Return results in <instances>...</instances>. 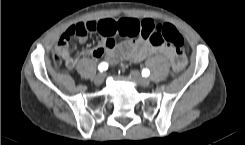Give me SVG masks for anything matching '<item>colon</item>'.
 I'll return each instance as SVG.
<instances>
[{
	"mask_svg": "<svg viewBox=\"0 0 245 145\" xmlns=\"http://www.w3.org/2000/svg\"><path fill=\"white\" fill-rule=\"evenodd\" d=\"M91 28L85 23H76L71 25L59 40L56 50L53 52V61L56 65H60L64 59L63 46L72 38H82L91 33ZM120 34L134 38L140 36L143 40L151 45H166L180 50L184 43V37L181 32L173 25L168 23H150L145 22L142 25L138 23H130L127 28L122 29ZM117 33H112L110 37H114ZM182 65L179 61L172 62V71L177 72Z\"/></svg>",
	"mask_w": 245,
	"mask_h": 145,
	"instance_id": "colon-1",
	"label": "colon"
}]
</instances>
